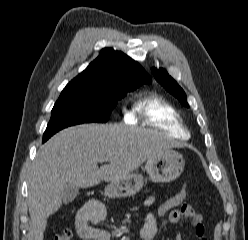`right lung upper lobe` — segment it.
<instances>
[{
	"label": "right lung upper lobe",
	"mask_w": 248,
	"mask_h": 240,
	"mask_svg": "<svg viewBox=\"0 0 248 240\" xmlns=\"http://www.w3.org/2000/svg\"><path fill=\"white\" fill-rule=\"evenodd\" d=\"M132 80L147 83L152 79L140 64L124 53L104 48L82 73L67 84L64 90L106 89Z\"/></svg>",
	"instance_id": "obj_1"
}]
</instances>
